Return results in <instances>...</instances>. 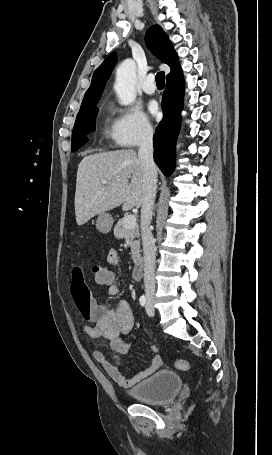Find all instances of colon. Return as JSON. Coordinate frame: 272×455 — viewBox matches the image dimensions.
<instances>
[{"instance_id": "5ec220e1", "label": "colon", "mask_w": 272, "mask_h": 455, "mask_svg": "<svg viewBox=\"0 0 272 455\" xmlns=\"http://www.w3.org/2000/svg\"><path fill=\"white\" fill-rule=\"evenodd\" d=\"M91 272L93 283L98 287L107 286L114 278V273L108 267L107 262L95 263ZM176 367L181 371H186L190 368V364L186 360H178Z\"/></svg>"}]
</instances>
